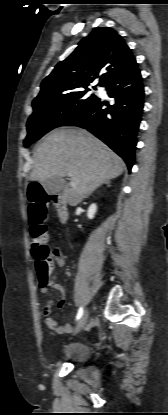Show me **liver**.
<instances>
[{
	"label": "liver",
	"mask_w": 168,
	"mask_h": 415,
	"mask_svg": "<svg viewBox=\"0 0 168 415\" xmlns=\"http://www.w3.org/2000/svg\"><path fill=\"white\" fill-rule=\"evenodd\" d=\"M31 181H43L50 177L71 174L62 200L76 206L102 183L121 175L125 169L123 160L85 129L60 127L48 133L37 146Z\"/></svg>",
	"instance_id": "1"
}]
</instances>
